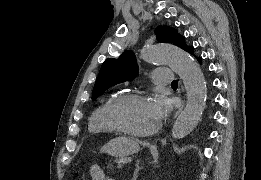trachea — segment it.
I'll list each match as a JSON object with an SVG mask.
<instances>
[{
    "mask_svg": "<svg viewBox=\"0 0 261 180\" xmlns=\"http://www.w3.org/2000/svg\"><path fill=\"white\" fill-rule=\"evenodd\" d=\"M172 84H178V80H173Z\"/></svg>",
    "mask_w": 261,
    "mask_h": 180,
    "instance_id": "obj_1",
    "label": "trachea"
}]
</instances>
